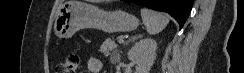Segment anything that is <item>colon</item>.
<instances>
[{
	"mask_svg": "<svg viewBox=\"0 0 244 73\" xmlns=\"http://www.w3.org/2000/svg\"><path fill=\"white\" fill-rule=\"evenodd\" d=\"M79 62V56L71 53L57 64L56 73H76Z\"/></svg>",
	"mask_w": 244,
	"mask_h": 73,
	"instance_id": "5ec220e1",
	"label": "colon"
}]
</instances>
